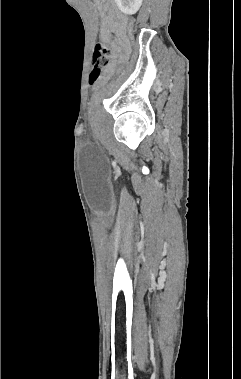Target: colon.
<instances>
[{"mask_svg": "<svg viewBox=\"0 0 241 379\" xmlns=\"http://www.w3.org/2000/svg\"><path fill=\"white\" fill-rule=\"evenodd\" d=\"M127 40L130 41L131 43H136L137 42V35H136V30H135V24L134 23H129L128 26H127ZM108 61H109V49L108 47L100 42L96 45L94 51H93V63H94V67L92 69V71L90 72V75H89V82L91 84H96L98 81H100V79L102 78L103 76V71L105 69V67L107 66L108 64ZM120 69L121 70H124L125 69V66L124 65H121L120 66ZM107 85H112V80H107Z\"/></svg>", "mask_w": 241, "mask_h": 379, "instance_id": "1", "label": "colon"}]
</instances>
